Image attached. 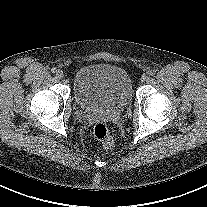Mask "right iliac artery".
<instances>
[{"mask_svg":"<svg viewBox=\"0 0 207 207\" xmlns=\"http://www.w3.org/2000/svg\"><path fill=\"white\" fill-rule=\"evenodd\" d=\"M51 71H52L53 73H56V72H57V69H56L55 67H53V68L51 69Z\"/></svg>","mask_w":207,"mask_h":207,"instance_id":"1","label":"right iliac artery"}]
</instances>
